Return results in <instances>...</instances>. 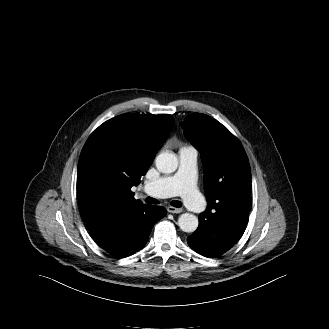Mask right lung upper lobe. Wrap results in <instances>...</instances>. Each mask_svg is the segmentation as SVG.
<instances>
[{"label":"right lung upper lobe","instance_id":"cb5924a9","mask_svg":"<svg viewBox=\"0 0 329 329\" xmlns=\"http://www.w3.org/2000/svg\"><path fill=\"white\" fill-rule=\"evenodd\" d=\"M173 124L168 114H122L89 136L77 169V192L86 221L107 209L142 204L131 187L140 183Z\"/></svg>","mask_w":329,"mask_h":329}]
</instances>
